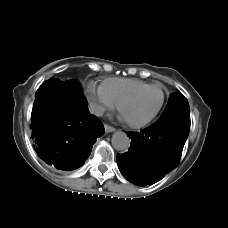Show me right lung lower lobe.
Returning <instances> with one entry per match:
<instances>
[{
  "label": "right lung lower lobe",
  "mask_w": 228,
  "mask_h": 228,
  "mask_svg": "<svg viewBox=\"0 0 228 228\" xmlns=\"http://www.w3.org/2000/svg\"><path fill=\"white\" fill-rule=\"evenodd\" d=\"M86 103L81 91L71 97L62 82L47 80L37 90L31 113V138L45 163L74 170L88 158L105 130L100 120L89 113Z\"/></svg>",
  "instance_id": "right-lung-lower-lobe-1"
}]
</instances>
